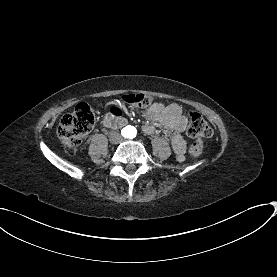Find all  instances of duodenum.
<instances>
[{
  "label": "duodenum",
  "instance_id": "obj_1",
  "mask_svg": "<svg viewBox=\"0 0 277 277\" xmlns=\"http://www.w3.org/2000/svg\"><path fill=\"white\" fill-rule=\"evenodd\" d=\"M102 124L108 128H120L125 126L126 120L123 118H118L114 116H107L102 121Z\"/></svg>",
  "mask_w": 277,
  "mask_h": 277
}]
</instances>
